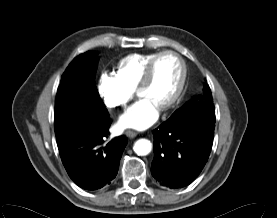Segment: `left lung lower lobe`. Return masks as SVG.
<instances>
[{
    "mask_svg": "<svg viewBox=\"0 0 277 218\" xmlns=\"http://www.w3.org/2000/svg\"><path fill=\"white\" fill-rule=\"evenodd\" d=\"M215 113L169 118L153 131L151 173L163 186L189 185L206 164L213 144Z\"/></svg>",
    "mask_w": 277,
    "mask_h": 218,
    "instance_id": "left-lung-lower-lobe-1",
    "label": "left lung lower lobe"
}]
</instances>
